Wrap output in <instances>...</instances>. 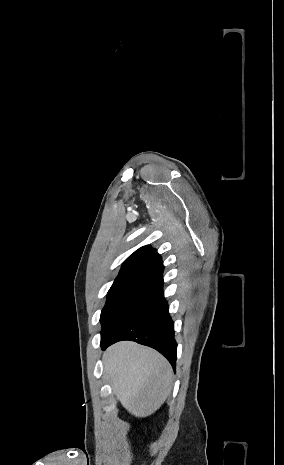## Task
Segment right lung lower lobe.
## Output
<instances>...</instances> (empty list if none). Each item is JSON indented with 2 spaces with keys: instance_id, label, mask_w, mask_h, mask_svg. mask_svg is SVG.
Masks as SVG:
<instances>
[{
  "instance_id": "1",
  "label": "right lung lower lobe",
  "mask_w": 284,
  "mask_h": 465,
  "mask_svg": "<svg viewBox=\"0 0 284 465\" xmlns=\"http://www.w3.org/2000/svg\"><path fill=\"white\" fill-rule=\"evenodd\" d=\"M131 340L159 351L175 370L177 343L174 323L163 294V279L155 285L112 326L101 334V347Z\"/></svg>"
}]
</instances>
